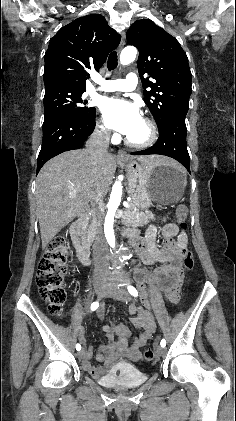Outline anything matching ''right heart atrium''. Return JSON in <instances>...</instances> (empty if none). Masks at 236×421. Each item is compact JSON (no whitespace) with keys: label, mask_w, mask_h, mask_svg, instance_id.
Returning <instances> with one entry per match:
<instances>
[{"label":"right heart atrium","mask_w":236,"mask_h":421,"mask_svg":"<svg viewBox=\"0 0 236 421\" xmlns=\"http://www.w3.org/2000/svg\"><path fill=\"white\" fill-rule=\"evenodd\" d=\"M96 133L102 137V138H108L110 137V129L107 124L106 119L103 116H100L96 121V127H95Z\"/></svg>","instance_id":"right-heart-atrium-1"}]
</instances>
